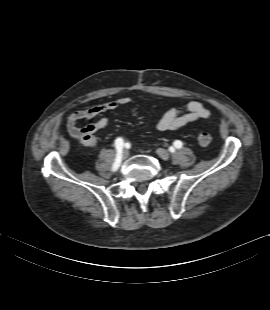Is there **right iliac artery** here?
<instances>
[{
	"label": "right iliac artery",
	"mask_w": 270,
	"mask_h": 310,
	"mask_svg": "<svg viewBox=\"0 0 270 310\" xmlns=\"http://www.w3.org/2000/svg\"><path fill=\"white\" fill-rule=\"evenodd\" d=\"M123 145H124L123 139L121 137H118L115 140V147H116L117 154H116L115 162L113 164V171H116L120 166V163L122 160Z\"/></svg>",
	"instance_id": "1"
}]
</instances>
